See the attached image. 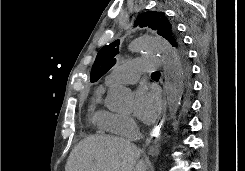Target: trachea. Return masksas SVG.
Instances as JSON below:
<instances>
[{"label": "trachea", "mask_w": 245, "mask_h": 171, "mask_svg": "<svg viewBox=\"0 0 245 171\" xmlns=\"http://www.w3.org/2000/svg\"><path fill=\"white\" fill-rule=\"evenodd\" d=\"M160 73L159 72H154L151 74V76H156V75H159Z\"/></svg>", "instance_id": "3493384b"}]
</instances>
